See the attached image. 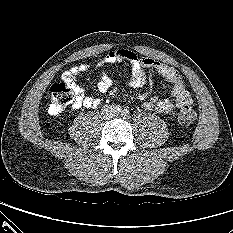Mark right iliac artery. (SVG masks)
<instances>
[{
	"instance_id": "right-iliac-artery-1",
	"label": "right iliac artery",
	"mask_w": 233,
	"mask_h": 233,
	"mask_svg": "<svg viewBox=\"0 0 233 233\" xmlns=\"http://www.w3.org/2000/svg\"><path fill=\"white\" fill-rule=\"evenodd\" d=\"M115 111L118 112V113H120L122 111V107L120 105H117L115 107Z\"/></svg>"
}]
</instances>
